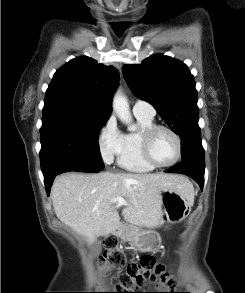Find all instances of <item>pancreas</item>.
Listing matches in <instances>:
<instances>
[{
  "mask_svg": "<svg viewBox=\"0 0 245 293\" xmlns=\"http://www.w3.org/2000/svg\"><path fill=\"white\" fill-rule=\"evenodd\" d=\"M137 227L135 226V224L133 223H129V224H122V226L120 227L119 231H118V235L120 236V238L123 241H127L128 237L131 233H133L134 231H136Z\"/></svg>",
  "mask_w": 245,
  "mask_h": 293,
  "instance_id": "obj_1",
  "label": "pancreas"
}]
</instances>
